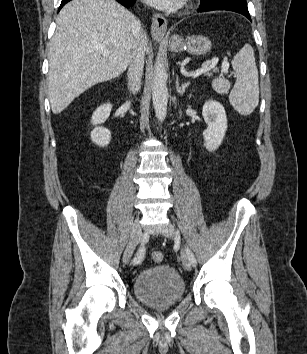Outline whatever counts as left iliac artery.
I'll list each match as a JSON object with an SVG mask.
<instances>
[{
    "label": "left iliac artery",
    "mask_w": 307,
    "mask_h": 354,
    "mask_svg": "<svg viewBox=\"0 0 307 354\" xmlns=\"http://www.w3.org/2000/svg\"><path fill=\"white\" fill-rule=\"evenodd\" d=\"M186 251H187V253H188V255H189L191 264H192L193 266H196L197 261H196V259H195V256H194L193 252H192L188 247H187Z\"/></svg>",
    "instance_id": "obj_1"
}]
</instances>
